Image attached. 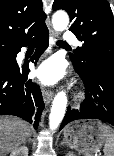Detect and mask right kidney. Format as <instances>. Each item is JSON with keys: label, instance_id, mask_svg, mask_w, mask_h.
<instances>
[{"label": "right kidney", "instance_id": "1", "mask_svg": "<svg viewBox=\"0 0 114 156\" xmlns=\"http://www.w3.org/2000/svg\"><path fill=\"white\" fill-rule=\"evenodd\" d=\"M10 156H28V148L26 146H21L13 150Z\"/></svg>", "mask_w": 114, "mask_h": 156}]
</instances>
